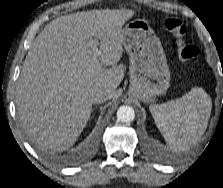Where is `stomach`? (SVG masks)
Listing matches in <instances>:
<instances>
[{
  "mask_svg": "<svg viewBox=\"0 0 223 188\" xmlns=\"http://www.w3.org/2000/svg\"><path fill=\"white\" fill-rule=\"evenodd\" d=\"M123 45L130 57L129 95L149 102L170 86V71L161 42L149 23L130 21L122 28Z\"/></svg>",
  "mask_w": 223,
  "mask_h": 188,
  "instance_id": "obj_1",
  "label": "stomach"
}]
</instances>
